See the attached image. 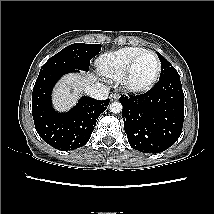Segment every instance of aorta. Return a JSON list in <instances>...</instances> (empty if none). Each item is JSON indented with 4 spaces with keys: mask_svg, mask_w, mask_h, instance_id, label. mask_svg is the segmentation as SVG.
<instances>
[{
    "mask_svg": "<svg viewBox=\"0 0 214 214\" xmlns=\"http://www.w3.org/2000/svg\"><path fill=\"white\" fill-rule=\"evenodd\" d=\"M122 104L120 102H113L110 104V111L112 113H120L122 111Z\"/></svg>",
    "mask_w": 214,
    "mask_h": 214,
    "instance_id": "762f6f07",
    "label": "aorta"
}]
</instances>
